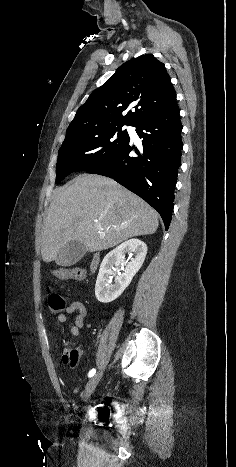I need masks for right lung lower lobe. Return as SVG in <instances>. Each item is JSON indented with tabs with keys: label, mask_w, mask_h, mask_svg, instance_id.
Masks as SVG:
<instances>
[{
	"label": "right lung lower lobe",
	"mask_w": 236,
	"mask_h": 467,
	"mask_svg": "<svg viewBox=\"0 0 236 467\" xmlns=\"http://www.w3.org/2000/svg\"><path fill=\"white\" fill-rule=\"evenodd\" d=\"M135 127L138 136L143 138L141 152L131 145L129 138L115 154L86 172L113 178L140 196L159 212L167 230L183 148L177 102ZM132 151L137 156H132Z\"/></svg>",
	"instance_id": "obj_1"
}]
</instances>
